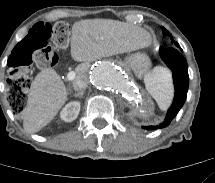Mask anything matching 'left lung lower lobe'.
Segmentation results:
<instances>
[{
    "label": "left lung lower lobe",
    "mask_w": 215,
    "mask_h": 183,
    "mask_svg": "<svg viewBox=\"0 0 215 183\" xmlns=\"http://www.w3.org/2000/svg\"><path fill=\"white\" fill-rule=\"evenodd\" d=\"M160 55L165 64L172 71L175 95L164 121L157 126L143 127L147 130L167 127L172 119L178 114L187 97L189 76L188 66L184 57L174 48L160 49Z\"/></svg>",
    "instance_id": "left-lung-lower-lobe-1"
}]
</instances>
